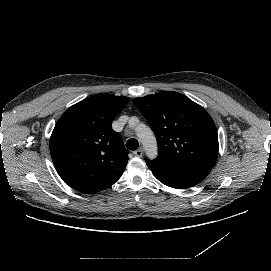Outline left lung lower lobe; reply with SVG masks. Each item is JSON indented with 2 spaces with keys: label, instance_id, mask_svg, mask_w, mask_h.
Wrapping results in <instances>:
<instances>
[{
  "label": "left lung lower lobe",
  "instance_id": "1",
  "mask_svg": "<svg viewBox=\"0 0 271 271\" xmlns=\"http://www.w3.org/2000/svg\"><path fill=\"white\" fill-rule=\"evenodd\" d=\"M147 166L154 176L163 184L176 188L186 189L197 185L210 173V167L180 163L157 157L147 160Z\"/></svg>",
  "mask_w": 271,
  "mask_h": 271
}]
</instances>
